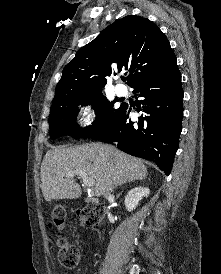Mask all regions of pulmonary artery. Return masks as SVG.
I'll list each match as a JSON object with an SVG mask.
<instances>
[{
    "label": "pulmonary artery",
    "mask_w": 221,
    "mask_h": 274,
    "mask_svg": "<svg viewBox=\"0 0 221 274\" xmlns=\"http://www.w3.org/2000/svg\"><path fill=\"white\" fill-rule=\"evenodd\" d=\"M115 92L118 96H125L127 94V90L123 85H117Z\"/></svg>",
    "instance_id": "pulmonary-artery-1"
}]
</instances>
